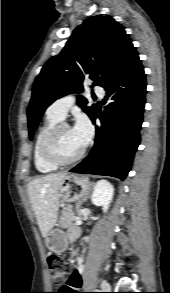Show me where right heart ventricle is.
I'll use <instances>...</instances> for the list:
<instances>
[{"label":"right heart ventricle","mask_w":170,"mask_h":293,"mask_svg":"<svg viewBox=\"0 0 170 293\" xmlns=\"http://www.w3.org/2000/svg\"><path fill=\"white\" fill-rule=\"evenodd\" d=\"M60 121H61L60 119L54 116H51L49 114H46V118L44 122L38 129L35 143H34V164L36 169L41 173L54 172L59 167L57 165L49 163L48 161L44 159L42 155V144L49 130Z\"/></svg>","instance_id":"1"}]
</instances>
